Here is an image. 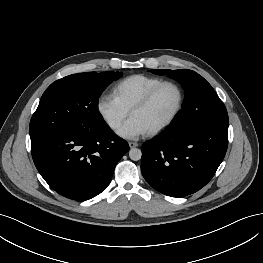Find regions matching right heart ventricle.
<instances>
[{"instance_id": "right-heart-ventricle-1", "label": "right heart ventricle", "mask_w": 263, "mask_h": 263, "mask_svg": "<svg viewBox=\"0 0 263 263\" xmlns=\"http://www.w3.org/2000/svg\"><path fill=\"white\" fill-rule=\"evenodd\" d=\"M162 79L149 75H131L117 82L112 88V96L128 111L144 94Z\"/></svg>"}]
</instances>
